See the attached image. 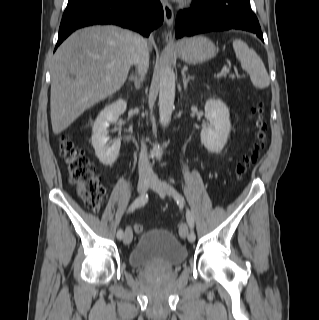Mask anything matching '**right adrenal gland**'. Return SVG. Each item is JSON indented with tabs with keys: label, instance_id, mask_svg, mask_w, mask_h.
I'll return each mask as SVG.
<instances>
[{
	"label": "right adrenal gland",
	"instance_id": "right-adrenal-gland-1",
	"mask_svg": "<svg viewBox=\"0 0 319 320\" xmlns=\"http://www.w3.org/2000/svg\"><path fill=\"white\" fill-rule=\"evenodd\" d=\"M129 80L134 82L135 88L138 90L141 86V83L143 82V75H140V77H138L137 75L131 74L129 76Z\"/></svg>",
	"mask_w": 319,
	"mask_h": 320
}]
</instances>
